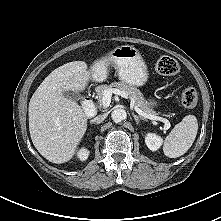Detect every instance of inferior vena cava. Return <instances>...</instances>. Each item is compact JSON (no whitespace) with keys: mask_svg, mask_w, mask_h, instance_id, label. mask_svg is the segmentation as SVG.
<instances>
[{"mask_svg":"<svg viewBox=\"0 0 221 221\" xmlns=\"http://www.w3.org/2000/svg\"><path fill=\"white\" fill-rule=\"evenodd\" d=\"M105 118H106V114H102V115L95 117L93 121L102 122Z\"/></svg>","mask_w":221,"mask_h":221,"instance_id":"1","label":"inferior vena cava"}]
</instances>
